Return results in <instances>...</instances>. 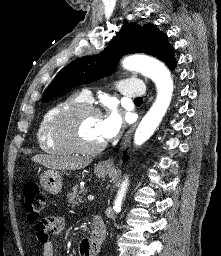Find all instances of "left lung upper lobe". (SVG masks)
I'll list each match as a JSON object with an SVG mask.
<instances>
[{
  "label": "left lung upper lobe",
  "instance_id": "left-lung-upper-lobe-1",
  "mask_svg": "<svg viewBox=\"0 0 221 256\" xmlns=\"http://www.w3.org/2000/svg\"><path fill=\"white\" fill-rule=\"evenodd\" d=\"M126 53H145L157 57L173 70L176 61L168 37L156 25L124 23L106 49L94 56L76 60L60 70L47 88L42 102L65 90L112 74L119 59Z\"/></svg>",
  "mask_w": 221,
  "mask_h": 256
}]
</instances>
